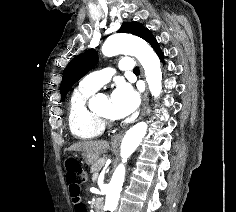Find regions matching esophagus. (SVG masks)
Instances as JSON below:
<instances>
[{"mask_svg": "<svg viewBox=\"0 0 236 212\" xmlns=\"http://www.w3.org/2000/svg\"><path fill=\"white\" fill-rule=\"evenodd\" d=\"M148 107V88L146 87L144 98H143V106L141 111V116L145 113L146 109ZM123 137V133H118L112 137V143H118L121 141Z\"/></svg>", "mask_w": 236, "mask_h": 212, "instance_id": "obj_1", "label": "esophagus"}]
</instances>
